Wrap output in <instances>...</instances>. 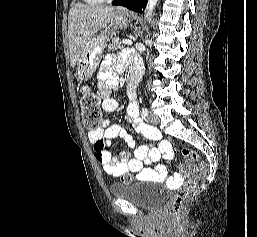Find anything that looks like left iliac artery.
Masks as SVG:
<instances>
[{
  "instance_id": "44dca946",
  "label": "left iliac artery",
  "mask_w": 257,
  "mask_h": 237,
  "mask_svg": "<svg viewBox=\"0 0 257 237\" xmlns=\"http://www.w3.org/2000/svg\"><path fill=\"white\" fill-rule=\"evenodd\" d=\"M142 114L144 117L148 116V110L146 108H142Z\"/></svg>"
}]
</instances>
